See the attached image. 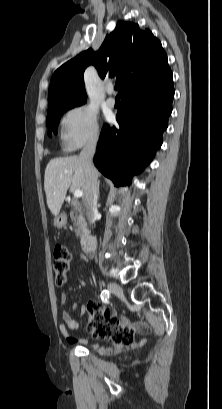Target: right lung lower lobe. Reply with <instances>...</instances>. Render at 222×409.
I'll list each match as a JSON object with an SVG mask.
<instances>
[{
    "instance_id": "1",
    "label": "right lung lower lobe",
    "mask_w": 222,
    "mask_h": 409,
    "mask_svg": "<svg viewBox=\"0 0 222 409\" xmlns=\"http://www.w3.org/2000/svg\"><path fill=\"white\" fill-rule=\"evenodd\" d=\"M149 79L123 94L119 126L106 125L100 135L94 164L115 186L129 184L131 174L142 171L162 144L172 112V72L152 77L148 85Z\"/></svg>"
}]
</instances>
